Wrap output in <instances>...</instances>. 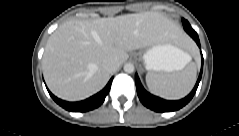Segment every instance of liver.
<instances>
[{
	"instance_id": "liver-1",
	"label": "liver",
	"mask_w": 239,
	"mask_h": 136,
	"mask_svg": "<svg viewBox=\"0 0 239 136\" xmlns=\"http://www.w3.org/2000/svg\"><path fill=\"white\" fill-rule=\"evenodd\" d=\"M185 42L180 26L158 12H142L92 21L64 22L50 36L43 55L45 81L57 97L83 100L100 91L112 72L107 59H128V52L162 42Z\"/></svg>"
}]
</instances>
